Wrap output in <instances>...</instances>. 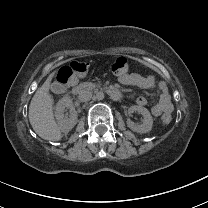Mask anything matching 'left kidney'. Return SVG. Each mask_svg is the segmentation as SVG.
Segmentation results:
<instances>
[{"instance_id":"5707ae66","label":"left kidney","mask_w":208,"mask_h":208,"mask_svg":"<svg viewBox=\"0 0 208 208\" xmlns=\"http://www.w3.org/2000/svg\"><path fill=\"white\" fill-rule=\"evenodd\" d=\"M133 112H139L143 115V123L141 125H136L134 122H132L130 119L127 120V126L134 132L138 133H147L152 129L153 125V118L145 107L142 106H131L128 109V113L131 114Z\"/></svg>"}]
</instances>
